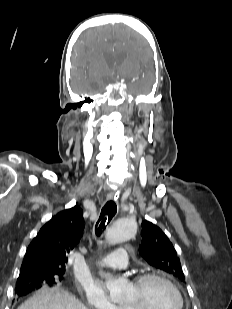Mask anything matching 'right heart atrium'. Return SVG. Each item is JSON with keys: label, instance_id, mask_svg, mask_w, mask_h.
Segmentation results:
<instances>
[{"label": "right heart atrium", "instance_id": "obj_1", "mask_svg": "<svg viewBox=\"0 0 232 309\" xmlns=\"http://www.w3.org/2000/svg\"><path fill=\"white\" fill-rule=\"evenodd\" d=\"M85 299L87 305L93 309H121V306L114 304L105 292L95 285L85 288Z\"/></svg>", "mask_w": 232, "mask_h": 309}]
</instances>
